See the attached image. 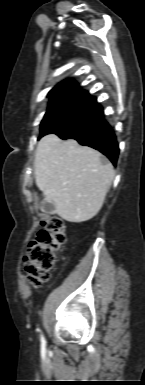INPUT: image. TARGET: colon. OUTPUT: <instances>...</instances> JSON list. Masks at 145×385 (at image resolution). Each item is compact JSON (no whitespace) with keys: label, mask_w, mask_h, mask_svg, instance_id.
<instances>
[{"label":"colon","mask_w":145,"mask_h":385,"mask_svg":"<svg viewBox=\"0 0 145 385\" xmlns=\"http://www.w3.org/2000/svg\"><path fill=\"white\" fill-rule=\"evenodd\" d=\"M64 242V221L55 216L43 219L37 237L30 242L25 256V271L33 287L49 280L58 251Z\"/></svg>","instance_id":"5ec220e1"}]
</instances>
